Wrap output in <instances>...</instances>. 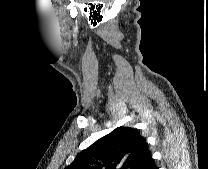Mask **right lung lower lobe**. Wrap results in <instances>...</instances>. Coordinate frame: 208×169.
<instances>
[{
    "label": "right lung lower lobe",
    "mask_w": 208,
    "mask_h": 169,
    "mask_svg": "<svg viewBox=\"0 0 208 169\" xmlns=\"http://www.w3.org/2000/svg\"><path fill=\"white\" fill-rule=\"evenodd\" d=\"M144 169H157L156 165L154 163V160L152 159L145 167Z\"/></svg>",
    "instance_id": "right-lung-lower-lobe-1"
}]
</instances>
